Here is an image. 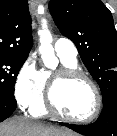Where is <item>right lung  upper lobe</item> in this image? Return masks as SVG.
I'll return each instance as SVG.
<instances>
[{
  "label": "right lung upper lobe",
  "instance_id": "cb5924a9",
  "mask_svg": "<svg viewBox=\"0 0 117 136\" xmlns=\"http://www.w3.org/2000/svg\"><path fill=\"white\" fill-rule=\"evenodd\" d=\"M32 45L27 0H0V55L27 58Z\"/></svg>",
  "mask_w": 117,
  "mask_h": 136
}]
</instances>
